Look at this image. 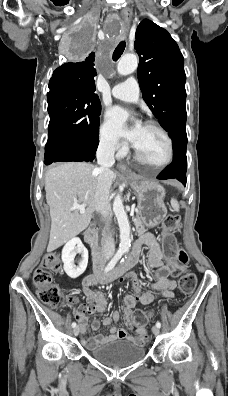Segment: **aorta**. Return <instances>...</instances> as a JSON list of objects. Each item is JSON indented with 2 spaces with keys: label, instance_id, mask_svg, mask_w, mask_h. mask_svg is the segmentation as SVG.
<instances>
[{
  "label": "aorta",
  "instance_id": "1",
  "mask_svg": "<svg viewBox=\"0 0 228 396\" xmlns=\"http://www.w3.org/2000/svg\"><path fill=\"white\" fill-rule=\"evenodd\" d=\"M138 67V59L134 54L124 55L118 62L117 71L120 75H129L133 73ZM113 211L117 218V222L120 229V245L119 248L122 251H129L131 247L130 238V224L127 214L124 210L122 198L119 194L116 195L113 202Z\"/></svg>",
  "mask_w": 228,
  "mask_h": 396
}]
</instances>
